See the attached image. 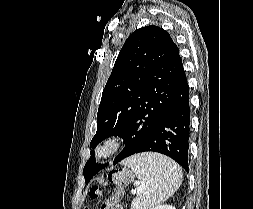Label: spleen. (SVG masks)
<instances>
[{
	"label": "spleen",
	"mask_w": 253,
	"mask_h": 209,
	"mask_svg": "<svg viewBox=\"0 0 253 209\" xmlns=\"http://www.w3.org/2000/svg\"><path fill=\"white\" fill-rule=\"evenodd\" d=\"M141 180L142 192L131 209H150L171 197L181 186L182 171L171 159L158 153H141L122 162Z\"/></svg>",
	"instance_id": "spleen-1"
}]
</instances>
